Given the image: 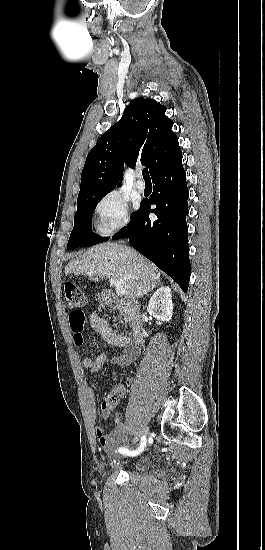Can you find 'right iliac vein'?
I'll use <instances>...</instances> for the list:
<instances>
[{
    "label": "right iliac vein",
    "instance_id": "63e3f726",
    "mask_svg": "<svg viewBox=\"0 0 265 550\" xmlns=\"http://www.w3.org/2000/svg\"><path fill=\"white\" fill-rule=\"evenodd\" d=\"M148 432H149V428L147 426L143 427L142 429L143 436L146 437L148 435Z\"/></svg>",
    "mask_w": 265,
    "mask_h": 550
}]
</instances>
